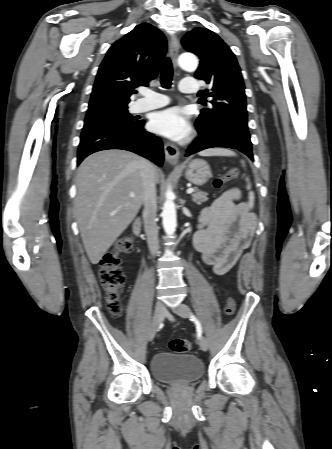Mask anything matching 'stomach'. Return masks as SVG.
Segmentation results:
<instances>
[{
  "label": "stomach",
  "instance_id": "stomach-1",
  "mask_svg": "<svg viewBox=\"0 0 332 449\" xmlns=\"http://www.w3.org/2000/svg\"><path fill=\"white\" fill-rule=\"evenodd\" d=\"M182 169L185 170L186 179L197 186L204 185L212 177L211 169L203 159L188 161Z\"/></svg>",
  "mask_w": 332,
  "mask_h": 449
}]
</instances>
